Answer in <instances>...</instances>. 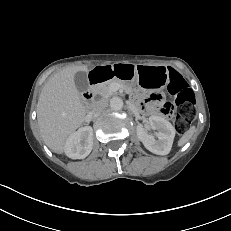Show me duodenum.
<instances>
[{"mask_svg": "<svg viewBox=\"0 0 231 231\" xmlns=\"http://www.w3.org/2000/svg\"><path fill=\"white\" fill-rule=\"evenodd\" d=\"M93 74H96V75L101 74V71L94 72ZM97 82H98V80L95 79V78L92 76V74H90V84H91L92 89L96 86V83H97ZM92 97H93V91H92V90H91V91H87V92L84 94V96H83V98H84L85 101L91 100Z\"/></svg>", "mask_w": 231, "mask_h": 231, "instance_id": "410a0bca", "label": "duodenum"}]
</instances>
